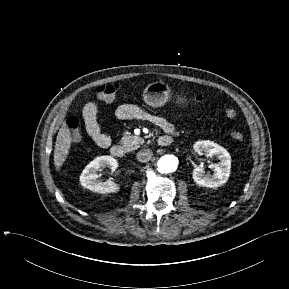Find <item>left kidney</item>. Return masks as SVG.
I'll list each match as a JSON object with an SVG mask.
<instances>
[{
	"mask_svg": "<svg viewBox=\"0 0 289 289\" xmlns=\"http://www.w3.org/2000/svg\"><path fill=\"white\" fill-rule=\"evenodd\" d=\"M197 153H206L209 156H216L220 162L213 164V174H205L204 168L201 166L193 170L192 177L194 182L202 187L217 188L226 183L231 168V157L228 151L212 141H197L194 146Z\"/></svg>",
	"mask_w": 289,
	"mask_h": 289,
	"instance_id": "5707ae66",
	"label": "left kidney"
}]
</instances>
